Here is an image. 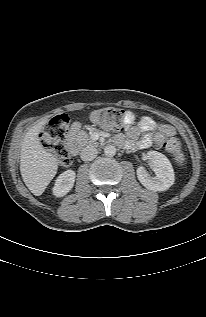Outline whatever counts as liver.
Listing matches in <instances>:
<instances>
[{
	"mask_svg": "<svg viewBox=\"0 0 206 317\" xmlns=\"http://www.w3.org/2000/svg\"><path fill=\"white\" fill-rule=\"evenodd\" d=\"M48 120L34 125L25 135L20 153V172L28 189L40 196L54 178L58 169L57 158L44 149L38 134Z\"/></svg>",
	"mask_w": 206,
	"mask_h": 317,
	"instance_id": "obj_1",
	"label": "liver"
}]
</instances>
